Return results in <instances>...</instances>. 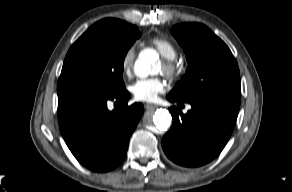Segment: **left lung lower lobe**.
<instances>
[{"mask_svg":"<svg viewBox=\"0 0 292 192\" xmlns=\"http://www.w3.org/2000/svg\"><path fill=\"white\" fill-rule=\"evenodd\" d=\"M170 102L191 104L183 114L174 106L169 111L173 124L162 138L166 156L184 167H199L215 159L228 142L236 123L240 99L234 97H200L182 101L167 96Z\"/></svg>","mask_w":292,"mask_h":192,"instance_id":"left-lung-lower-lobe-1","label":"left lung lower lobe"}]
</instances>
